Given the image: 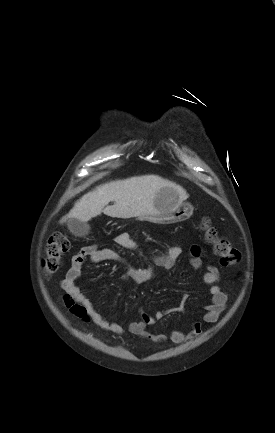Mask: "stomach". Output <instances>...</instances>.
I'll return each instance as SVG.
<instances>
[{
	"label": "stomach",
	"instance_id": "stomach-1",
	"mask_svg": "<svg viewBox=\"0 0 275 433\" xmlns=\"http://www.w3.org/2000/svg\"><path fill=\"white\" fill-rule=\"evenodd\" d=\"M156 213L142 216L143 219L157 224H173L190 218L193 207L180 200L179 193L170 187L162 188L155 194Z\"/></svg>",
	"mask_w": 275,
	"mask_h": 433
}]
</instances>
